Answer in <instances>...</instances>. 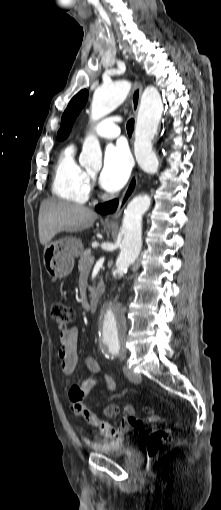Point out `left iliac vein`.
I'll use <instances>...</instances> for the list:
<instances>
[{
    "mask_svg": "<svg viewBox=\"0 0 221 510\" xmlns=\"http://www.w3.org/2000/svg\"><path fill=\"white\" fill-rule=\"evenodd\" d=\"M122 358L124 357V354L120 355ZM124 374L126 377L133 383L138 384L141 382V375L133 372L128 366L123 367Z\"/></svg>",
    "mask_w": 221,
    "mask_h": 510,
    "instance_id": "obj_1",
    "label": "left iliac vein"
}]
</instances>
